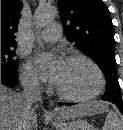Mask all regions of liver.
I'll list each match as a JSON object with an SVG mask.
<instances>
[{
    "instance_id": "1",
    "label": "liver",
    "mask_w": 123,
    "mask_h": 130,
    "mask_svg": "<svg viewBox=\"0 0 123 130\" xmlns=\"http://www.w3.org/2000/svg\"><path fill=\"white\" fill-rule=\"evenodd\" d=\"M99 103L83 104L75 107H61L54 110L58 120L75 119L96 113ZM37 130V114L30 108L25 111V100L21 93L1 85V130Z\"/></svg>"
}]
</instances>
